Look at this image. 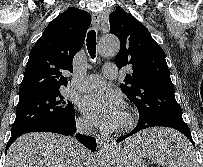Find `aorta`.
<instances>
[{
  "label": "aorta",
  "mask_w": 203,
  "mask_h": 167,
  "mask_svg": "<svg viewBox=\"0 0 203 167\" xmlns=\"http://www.w3.org/2000/svg\"><path fill=\"white\" fill-rule=\"evenodd\" d=\"M120 49V42L114 35L104 36L98 44V54L102 57L115 56ZM94 167H110V149L103 148L94 164Z\"/></svg>",
  "instance_id": "1"
}]
</instances>
